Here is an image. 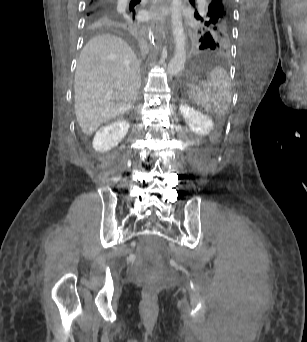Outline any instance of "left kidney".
I'll list each match as a JSON object with an SVG mask.
<instances>
[{
	"label": "left kidney",
	"mask_w": 307,
	"mask_h": 342,
	"mask_svg": "<svg viewBox=\"0 0 307 342\" xmlns=\"http://www.w3.org/2000/svg\"><path fill=\"white\" fill-rule=\"evenodd\" d=\"M180 112L190 130L196 132L198 136H207L211 132L214 122L210 116H204V114L190 108V106H186V104H180Z\"/></svg>",
	"instance_id": "obj_1"
}]
</instances>
